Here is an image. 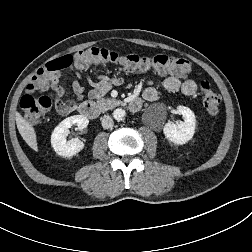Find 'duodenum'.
Wrapping results in <instances>:
<instances>
[{
  "label": "duodenum",
  "mask_w": 252,
  "mask_h": 252,
  "mask_svg": "<svg viewBox=\"0 0 252 252\" xmlns=\"http://www.w3.org/2000/svg\"><path fill=\"white\" fill-rule=\"evenodd\" d=\"M129 109L132 112H137L142 106V100L140 98H135L127 103ZM78 112L90 119H95L100 113L99 105L94 101H84L77 106Z\"/></svg>",
  "instance_id": "410a0bca"
}]
</instances>
